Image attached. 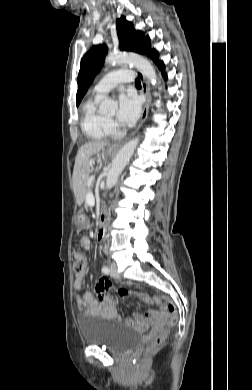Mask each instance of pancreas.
<instances>
[{"label": "pancreas", "mask_w": 252, "mask_h": 390, "mask_svg": "<svg viewBox=\"0 0 252 390\" xmlns=\"http://www.w3.org/2000/svg\"><path fill=\"white\" fill-rule=\"evenodd\" d=\"M88 193H89V191H88ZM81 205H82V209L83 210H88V205H87V203L85 201H82Z\"/></svg>", "instance_id": "obj_1"}]
</instances>
